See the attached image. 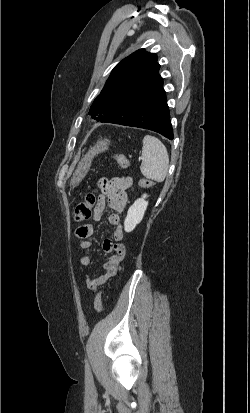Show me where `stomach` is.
<instances>
[{"mask_svg":"<svg viewBox=\"0 0 250 413\" xmlns=\"http://www.w3.org/2000/svg\"><path fill=\"white\" fill-rule=\"evenodd\" d=\"M108 145L109 140H101L97 142V144L89 150V152L85 155L84 158H82L69 181L70 189H73L79 185V183L84 179V177L88 173L94 156H96L100 152L107 150Z\"/></svg>","mask_w":250,"mask_h":413,"instance_id":"1","label":"stomach"}]
</instances>
